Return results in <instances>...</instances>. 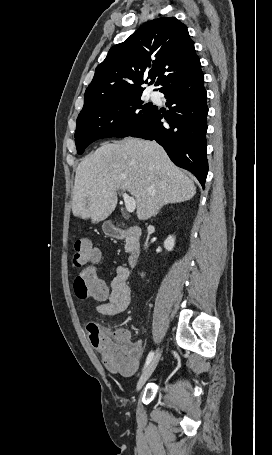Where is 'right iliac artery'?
Masks as SVG:
<instances>
[{"mask_svg":"<svg viewBox=\"0 0 272 455\" xmlns=\"http://www.w3.org/2000/svg\"><path fill=\"white\" fill-rule=\"evenodd\" d=\"M154 357V352L151 351L148 356H147V359H146V362H145V365H144V369L150 364V362L152 361Z\"/></svg>","mask_w":272,"mask_h":455,"instance_id":"obj_1","label":"right iliac artery"}]
</instances>
